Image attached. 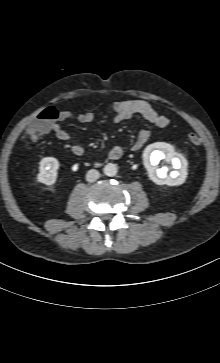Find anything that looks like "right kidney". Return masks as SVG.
I'll use <instances>...</instances> for the list:
<instances>
[{
  "label": "right kidney",
  "instance_id": "1",
  "mask_svg": "<svg viewBox=\"0 0 220 363\" xmlns=\"http://www.w3.org/2000/svg\"><path fill=\"white\" fill-rule=\"evenodd\" d=\"M39 174L37 180L46 185H52L57 179L59 162L54 157H45L40 161Z\"/></svg>",
  "mask_w": 220,
  "mask_h": 363
}]
</instances>
